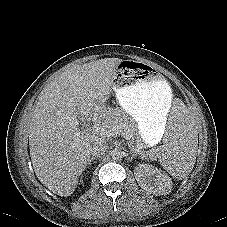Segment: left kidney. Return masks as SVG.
Masks as SVG:
<instances>
[{
    "label": "left kidney",
    "mask_w": 227,
    "mask_h": 227,
    "mask_svg": "<svg viewBox=\"0 0 227 227\" xmlns=\"http://www.w3.org/2000/svg\"><path fill=\"white\" fill-rule=\"evenodd\" d=\"M134 174L139 186L153 195H166L172 190L171 178L152 165L139 164Z\"/></svg>",
    "instance_id": "left-kidney-1"
}]
</instances>
